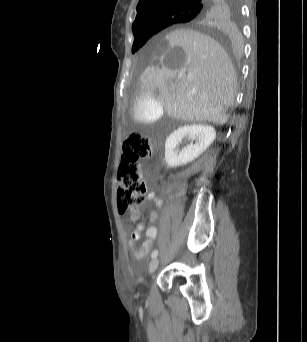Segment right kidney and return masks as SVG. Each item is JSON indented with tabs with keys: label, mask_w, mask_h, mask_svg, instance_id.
Here are the masks:
<instances>
[{
	"label": "right kidney",
	"mask_w": 307,
	"mask_h": 342,
	"mask_svg": "<svg viewBox=\"0 0 307 342\" xmlns=\"http://www.w3.org/2000/svg\"><path fill=\"white\" fill-rule=\"evenodd\" d=\"M185 136L196 140V144H189L179 152L176 146ZM215 138L216 130L207 124H192V126H182L174 130L165 142V160L168 168H179V166L190 164L213 144Z\"/></svg>",
	"instance_id": "ca27d5eb"
}]
</instances>
